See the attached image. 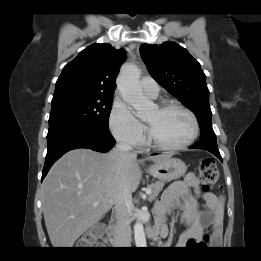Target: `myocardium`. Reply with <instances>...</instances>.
<instances>
[{"mask_svg":"<svg viewBox=\"0 0 261 261\" xmlns=\"http://www.w3.org/2000/svg\"><path fill=\"white\" fill-rule=\"evenodd\" d=\"M156 108L159 111H166V110H170V109H179V110L183 111L191 119L192 132H191L190 136L184 142L179 143V144L168 145V144H163V143L157 141L154 138L150 128L146 124L147 143L151 147L159 149V150H164V151H176V150H182V149L190 146L196 140V138L199 134L200 128H199L198 119H197L196 115L194 114V112L192 110H190L189 108H187L183 104L175 102V101L161 102L160 104L157 105Z\"/></svg>","mask_w":261,"mask_h":261,"instance_id":"f54148a6","label":"myocardium"}]
</instances>
